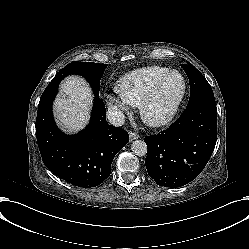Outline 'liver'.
Masks as SVG:
<instances>
[{"label": "liver", "mask_w": 249, "mask_h": 249, "mask_svg": "<svg viewBox=\"0 0 249 249\" xmlns=\"http://www.w3.org/2000/svg\"><path fill=\"white\" fill-rule=\"evenodd\" d=\"M93 99L92 89L84 78L69 76L64 79L53 104L60 128L70 134L82 130L89 123Z\"/></svg>", "instance_id": "6515ba94"}]
</instances>
